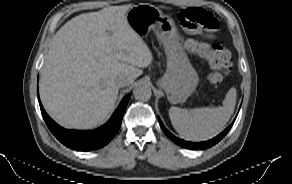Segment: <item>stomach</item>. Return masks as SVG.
I'll list each match as a JSON object with an SVG mask.
<instances>
[{
    "instance_id": "stomach-1",
    "label": "stomach",
    "mask_w": 292,
    "mask_h": 184,
    "mask_svg": "<svg viewBox=\"0 0 292 184\" xmlns=\"http://www.w3.org/2000/svg\"><path fill=\"white\" fill-rule=\"evenodd\" d=\"M129 26L143 37L154 30L157 38L164 44L167 51V70L159 81L167 98L172 103L186 101L198 83V76L187 58L184 50L173 43L176 33L172 22L164 20L162 13L148 4L132 7L126 14Z\"/></svg>"
}]
</instances>
